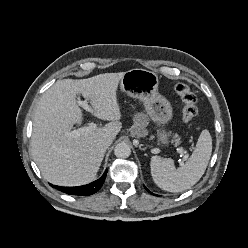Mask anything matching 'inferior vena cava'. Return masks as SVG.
Segmentation results:
<instances>
[{
  "label": "inferior vena cava",
  "instance_id": "obj_1",
  "mask_svg": "<svg viewBox=\"0 0 248 248\" xmlns=\"http://www.w3.org/2000/svg\"><path fill=\"white\" fill-rule=\"evenodd\" d=\"M112 141L111 138H102L98 141V145L103 149H107L112 144Z\"/></svg>",
  "mask_w": 248,
  "mask_h": 248
}]
</instances>
